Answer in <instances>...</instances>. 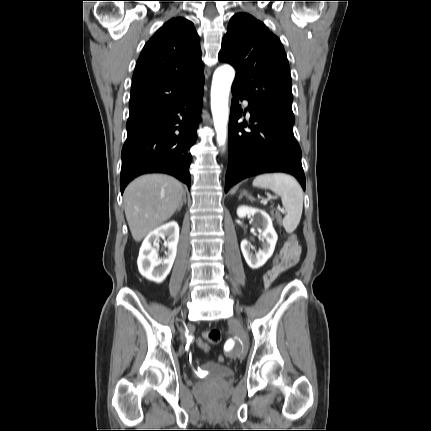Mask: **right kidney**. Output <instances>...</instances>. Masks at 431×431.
I'll return each instance as SVG.
<instances>
[{
  "label": "right kidney",
  "mask_w": 431,
  "mask_h": 431,
  "mask_svg": "<svg viewBox=\"0 0 431 431\" xmlns=\"http://www.w3.org/2000/svg\"><path fill=\"white\" fill-rule=\"evenodd\" d=\"M160 237H167L165 246L168 250L164 258L159 257L156 248ZM178 241L179 226L176 222H169L150 232L141 245L137 259L140 274L150 281L162 283L172 269Z\"/></svg>",
  "instance_id": "ca27d5eb"
}]
</instances>
